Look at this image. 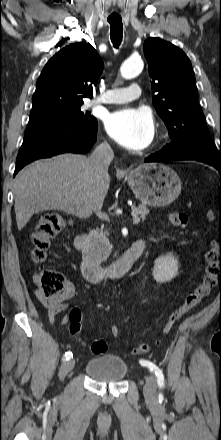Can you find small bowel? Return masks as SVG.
<instances>
[{
	"instance_id": "obj_1",
	"label": "small bowel",
	"mask_w": 221,
	"mask_h": 440,
	"mask_svg": "<svg viewBox=\"0 0 221 440\" xmlns=\"http://www.w3.org/2000/svg\"><path fill=\"white\" fill-rule=\"evenodd\" d=\"M75 293V284L72 281L66 282L64 291L56 298H45L39 292L37 293L38 299L47 308L48 316L51 322H55L56 316L61 312H66L69 309L67 301L73 297ZM62 322L66 324L68 322V315L65 314Z\"/></svg>"
}]
</instances>
